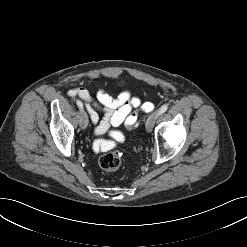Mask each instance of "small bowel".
Returning a JSON list of instances; mask_svg holds the SVG:
<instances>
[{
	"label": "small bowel",
	"mask_w": 247,
	"mask_h": 247,
	"mask_svg": "<svg viewBox=\"0 0 247 247\" xmlns=\"http://www.w3.org/2000/svg\"><path fill=\"white\" fill-rule=\"evenodd\" d=\"M70 97H79L83 100L93 123H98L96 134L102 135L111 127L125 124L129 129L137 125V113L134 109H142L150 112L153 104L143 102L139 97L134 96L130 90L122 91L118 96H111L105 89L99 88L96 91L95 99L83 87H74L68 91ZM102 118H99V114ZM116 131L112 132L113 137L117 135ZM107 142L98 140L94 144L96 150H106L100 148Z\"/></svg>",
	"instance_id": "small-bowel-1"
}]
</instances>
